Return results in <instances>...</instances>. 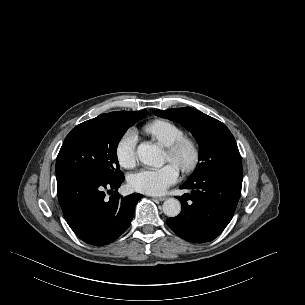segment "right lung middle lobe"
Masks as SVG:
<instances>
[{"label":"right lung middle lobe","mask_w":305,"mask_h":305,"mask_svg":"<svg viewBox=\"0 0 305 305\" xmlns=\"http://www.w3.org/2000/svg\"><path fill=\"white\" fill-rule=\"evenodd\" d=\"M129 116L102 114L73 128L63 142L56 162V176L80 174L108 181L123 175L117 146L127 131L147 111H132Z\"/></svg>","instance_id":"obj_1"}]
</instances>
